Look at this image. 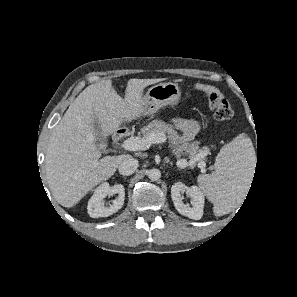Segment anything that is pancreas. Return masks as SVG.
<instances>
[{"instance_id": "1", "label": "pancreas", "mask_w": 297, "mask_h": 297, "mask_svg": "<svg viewBox=\"0 0 297 297\" xmlns=\"http://www.w3.org/2000/svg\"><path fill=\"white\" fill-rule=\"evenodd\" d=\"M141 133L143 134L144 137H147L152 133H162L164 135H165V133H168L171 137H175V138L178 137L177 132L174 131L171 126L167 125L165 122H163L161 120H153L152 122H150L148 125L144 126L141 129ZM200 151L201 150L199 149L197 144L191 145V144L185 143V144L179 146V148H177V150L174 152V154L176 155L177 158H179L182 154H186V153H189L190 157H194L195 154ZM203 160L204 159L202 157H200L198 164H201L203 162ZM196 164H197V161L192 159L190 161L189 166L193 167ZM202 170L204 171V167L202 168Z\"/></svg>"}]
</instances>
